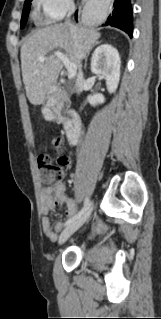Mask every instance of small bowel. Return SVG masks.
<instances>
[{
    "mask_svg": "<svg viewBox=\"0 0 161 319\" xmlns=\"http://www.w3.org/2000/svg\"><path fill=\"white\" fill-rule=\"evenodd\" d=\"M66 185L64 182L60 181L53 185L52 187H46L42 191V207L43 212L47 214L50 212L55 205H65L67 207L68 215H73L77 211V204L65 195ZM55 231L53 230L50 221L47 217L43 219L42 229L45 236L51 240L55 241L57 238V233L61 232L63 229V224L57 222L55 224ZM104 229L102 224H98L95 227V231H101Z\"/></svg>",
    "mask_w": 161,
    "mask_h": 319,
    "instance_id": "small-bowel-1",
    "label": "small bowel"
}]
</instances>
